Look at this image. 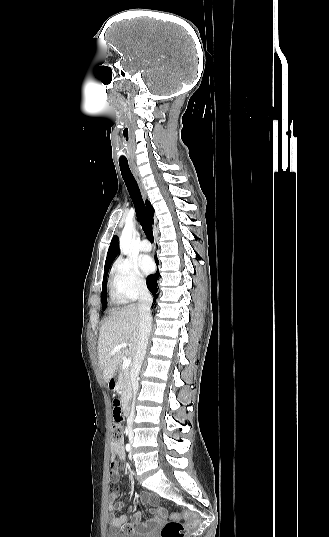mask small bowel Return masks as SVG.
I'll list each match as a JSON object with an SVG mask.
<instances>
[{"mask_svg": "<svg viewBox=\"0 0 329 537\" xmlns=\"http://www.w3.org/2000/svg\"><path fill=\"white\" fill-rule=\"evenodd\" d=\"M112 420L119 424L123 420L122 409L117 403L112 405ZM111 458L109 459V480L112 485H117L120 482L119 470L121 462L125 459V450L123 441L111 443L110 445ZM120 492L111 488L109 495L108 510L110 516V527L114 530H121L126 533H145L159 526L166 516L164 508L158 505V497L152 493H143L138 499L141 502L149 503L154 506L152 517L144 520L141 513H135L133 519L128 521L126 514L116 516L115 513L124 507V504L119 501Z\"/></svg>", "mask_w": 329, "mask_h": 537, "instance_id": "1", "label": "small bowel"}]
</instances>
